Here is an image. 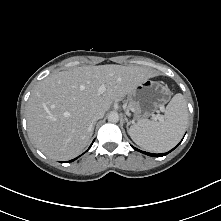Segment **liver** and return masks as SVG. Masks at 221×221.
I'll use <instances>...</instances> for the list:
<instances>
[{"mask_svg":"<svg viewBox=\"0 0 221 221\" xmlns=\"http://www.w3.org/2000/svg\"><path fill=\"white\" fill-rule=\"evenodd\" d=\"M156 75L145 67L114 64L51 74L37 84L27 102L29 135L47 157L70 160L88 145L95 112L105 113L114 100ZM101 85L106 90L99 94Z\"/></svg>","mask_w":221,"mask_h":221,"instance_id":"6515ba94","label":"liver"}]
</instances>
